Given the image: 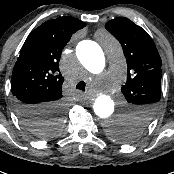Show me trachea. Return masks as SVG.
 <instances>
[{
	"label": "trachea",
	"instance_id": "obj_1",
	"mask_svg": "<svg viewBox=\"0 0 174 174\" xmlns=\"http://www.w3.org/2000/svg\"><path fill=\"white\" fill-rule=\"evenodd\" d=\"M85 86H86L85 82L81 81L77 84L76 89H80L82 91H85Z\"/></svg>",
	"mask_w": 174,
	"mask_h": 174
}]
</instances>
